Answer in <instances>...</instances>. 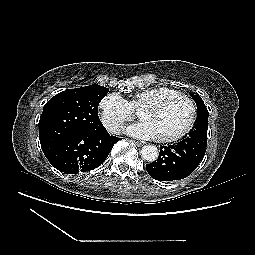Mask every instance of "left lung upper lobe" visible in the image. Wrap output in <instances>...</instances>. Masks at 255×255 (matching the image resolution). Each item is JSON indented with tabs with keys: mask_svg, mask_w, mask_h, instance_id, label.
Returning <instances> with one entry per match:
<instances>
[{
	"mask_svg": "<svg viewBox=\"0 0 255 255\" xmlns=\"http://www.w3.org/2000/svg\"><path fill=\"white\" fill-rule=\"evenodd\" d=\"M192 98L194 99L196 105H197V121L195 124V129H198L200 127H208V110L201 99L200 96L198 95H193Z\"/></svg>",
	"mask_w": 255,
	"mask_h": 255,
	"instance_id": "1",
	"label": "left lung upper lobe"
}]
</instances>
